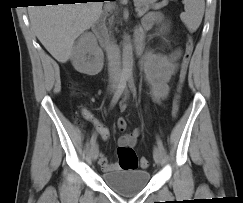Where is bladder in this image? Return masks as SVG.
Segmentation results:
<instances>
[{"label":"bladder","mask_w":243,"mask_h":203,"mask_svg":"<svg viewBox=\"0 0 243 203\" xmlns=\"http://www.w3.org/2000/svg\"><path fill=\"white\" fill-rule=\"evenodd\" d=\"M104 183L121 195H134L145 189L150 173L147 170L118 169L102 174Z\"/></svg>","instance_id":"1"}]
</instances>
